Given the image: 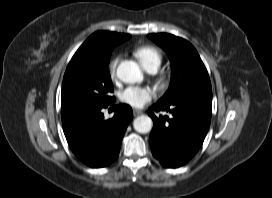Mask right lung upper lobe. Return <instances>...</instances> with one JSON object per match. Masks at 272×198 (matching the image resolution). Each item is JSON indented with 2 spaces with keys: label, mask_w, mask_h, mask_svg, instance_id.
<instances>
[{
  "label": "right lung upper lobe",
  "mask_w": 272,
  "mask_h": 198,
  "mask_svg": "<svg viewBox=\"0 0 272 198\" xmlns=\"http://www.w3.org/2000/svg\"><path fill=\"white\" fill-rule=\"evenodd\" d=\"M130 37L131 35L129 34L109 31H97L90 35L69 62L63 82L80 70L86 61L94 58L100 53L113 49L116 45L128 40ZM64 111L68 110L62 108V112Z\"/></svg>",
  "instance_id": "obj_1"
}]
</instances>
